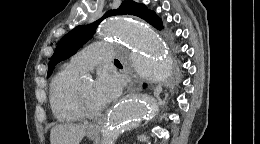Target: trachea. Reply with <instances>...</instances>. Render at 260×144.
Returning a JSON list of instances; mask_svg holds the SVG:
<instances>
[{"mask_svg": "<svg viewBox=\"0 0 260 144\" xmlns=\"http://www.w3.org/2000/svg\"><path fill=\"white\" fill-rule=\"evenodd\" d=\"M114 63L115 64H120L119 60H117V59L114 60Z\"/></svg>", "mask_w": 260, "mask_h": 144, "instance_id": "3493384b", "label": "trachea"}]
</instances>
